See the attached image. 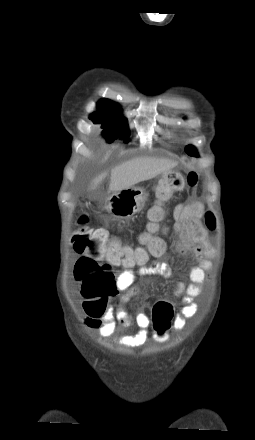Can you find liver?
I'll list each match as a JSON object with an SVG mask.
<instances>
[{
	"label": "liver",
	"instance_id": "6515ba94",
	"mask_svg": "<svg viewBox=\"0 0 255 440\" xmlns=\"http://www.w3.org/2000/svg\"><path fill=\"white\" fill-rule=\"evenodd\" d=\"M176 164V162H172L168 159L153 157H141L129 160L112 169L109 191L119 192L128 189L139 182L156 177L160 173L173 168ZM106 175V173L98 175L92 181L91 189H95Z\"/></svg>",
	"mask_w": 255,
	"mask_h": 440
}]
</instances>
